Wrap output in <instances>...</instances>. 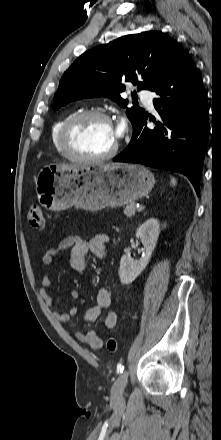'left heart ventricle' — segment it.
<instances>
[{
    "label": "left heart ventricle",
    "instance_id": "left-heart-ventricle-1",
    "mask_svg": "<svg viewBox=\"0 0 221 440\" xmlns=\"http://www.w3.org/2000/svg\"><path fill=\"white\" fill-rule=\"evenodd\" d=\"M114 127L104 119L89 117L81 120L70 137L72 147L87 156L108 152L116 142Z\"/></svg>",
    "mask_w": 221,
    "mask_h": 440
}]
</instances>
